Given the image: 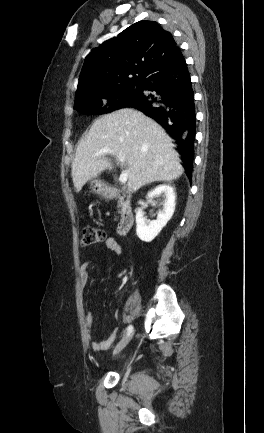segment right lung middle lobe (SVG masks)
<instances>
[{"label":"right lung middle lobe","mask_w":264,"mask_h":433,"mask_svg":"<svg viewBox=\"0 0 264 433\" xmlns=\"http://www.w3.org/2000/svg\"><path fill=\"white\" fill-rule=\"evenodd\" d=\"M140 93V84H129L90 98L75 101L74 109L85 114H105L122 108Z\"/></svg>","instance_id":"1"}]
</instances>
